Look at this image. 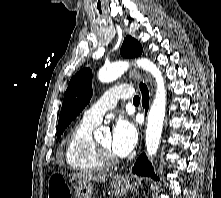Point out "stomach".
<instances>
[{
  "mask_svg": "<svg viewBox=\"0 0 221 198\" xmlns=\"http://www.w3.org/2000/svg\"><path fill=\"white\" fill-rule=\"evenodd\" d=\"M135 186L128 179L119 178L111 182L110 188L115 196H123L128 191L135 190ZM74 189L76 198H92L94 186L91 182L78 180L74 183Z\"/></svg>",
  "mask_w": 221,
  "mask_h": 198,
  "instance_id": "0dacf381",
  "label": "stomach"
}]
</instances>
